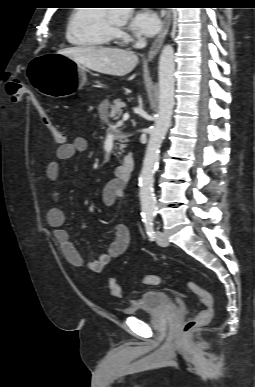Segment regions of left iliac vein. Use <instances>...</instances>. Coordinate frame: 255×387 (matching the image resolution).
I'll return each mask as SVG.
<instances>
[{"label":"left iliac vein","instance_id":"4c4485c4","mask_svg":"<svg viewBox=\"0 0 255 387\" xmlns=\"http://www.w3.org/2000/svg\"><path fill=\"white\" fill-rule=\"evenodd\" d=\"M156 242L158 245L162 246V247H166L169 245V241L167 239V236L165 235V233L161 232V231H156Z\"/></svg>","mask_w":255,"mask_h":387}]
</instances>
